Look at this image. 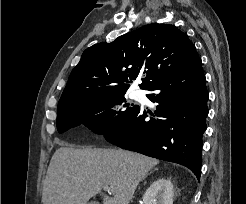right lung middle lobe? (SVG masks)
Returning <instances> with one entry per match:
<instances>
[{"instance_id": "1", "label": "right lung middle lobe", "mask_w": 246, "mask_h": 204, "mask_svg": "<svg viewBox=\"0 0 246 204\" xmlns=\"http://www.w3.org/2000/svg\"><path fill=\"white\" fill-rule=\"evenodd\" d=\"M124 94L76 97L58 103V132L80 124L97 134H105L119 127L138 107L125 104Z\"/></svg>"}]
</instances>
